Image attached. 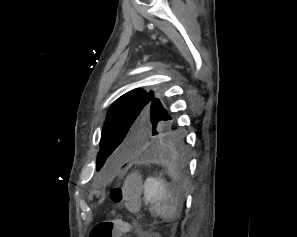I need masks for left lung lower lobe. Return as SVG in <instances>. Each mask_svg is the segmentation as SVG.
<instances>
[{
  "instance_id": "left-lung-lower-lobe-1",
  "label": "left lung lower lobe",
  "mask_w": 297,
  "mask_h": 237,
  "mask_svg": "<svg viewBox=\"0 0 297 237\" xmlns=\"http://www.w3.org/2000/svg\"><path fill=\"white\" fill-rule=\"evenodd\" d=\"M186 143L182 133L172 124L152 142L151 149L145 157L156 158L163 156H176L181 159L186 157Z\"/></svg>"
}]
</instances>
